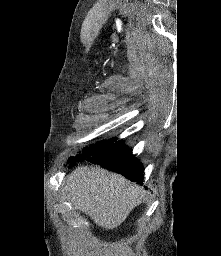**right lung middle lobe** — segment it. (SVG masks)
I'll list each match as a JSON object with an SVG mask.
<instances>
[{
	"label": "right lung middle lobe",
	"mask_w": 221,
	"mask_h": 256,
	"mask_svg": "<svg viewBox=\"0 0 221 256\" xmlns=\"http://www.w3.org/2000/svg\"><path fill=\"white\" fill-rule=\"evenodd\" d=\"M116 140H117V138L111 139V140H108V141H101V142H98L97 144H93L90 147L86 148L81 154H78L76 157H71L68 160V163H70V166H73L78 161L94 155L95 153L99 152L104 147H106L107 145L115 142Z\"/></svg>",
	"instance_id": "dd1d6c3e"
}]
</instances>
